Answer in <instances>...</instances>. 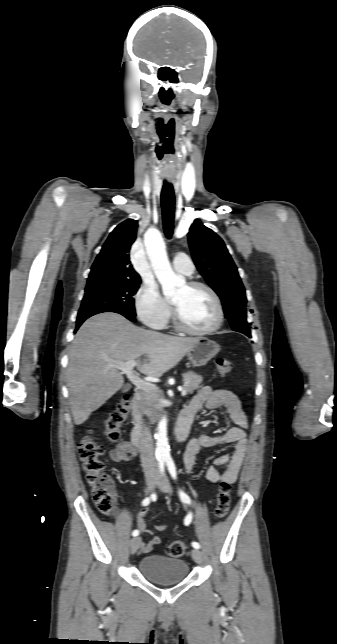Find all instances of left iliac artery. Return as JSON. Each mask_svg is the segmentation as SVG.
<instances>
[{
  "label": "left iliac artery",
  "mask_w": 337,
  "mask_h": 644,
  "mask_svg": "<svg viewBox=\"0 0 337 644\" xmlns=\"http://www.w3.org/2000/svg\"><path fill=\"white\" fill-rule=\"evenodd\" d=\"M165 462L168 467L170 475L172 476L173 479H176V467H175L174 461L172 460V458L169 457V458H166ZM179 496L183 502L189 505L191 504L190 497L182 490H179ZM191 521H192V513H189L184 519V524L187 526L191 523ZM191 544L196 549L200 548V544L198 542L194 541Z\"/></svg>",
  "instance_id": "44dca946"
}]
</instances>
